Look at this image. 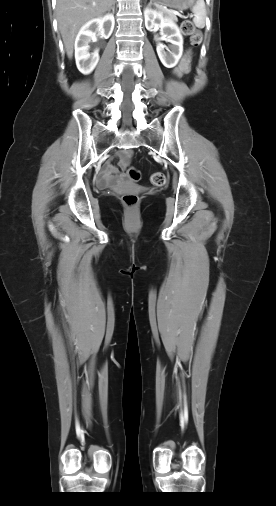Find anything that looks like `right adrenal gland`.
I'll return each instance as SVG.
<instances>
[{"label":"right adrenal gland","mask_w":276,"mask_h":506,"mask_svg":"<svg viewBox=\"0 0 276 506\" xmlns=\"http://www.w3.org/2000/svg\"><path fill=\"white\" fill-rule=\"evenodd\" d=\"M113 13L115 12V3H113L112 7H111Z\"/></svg>","instance_id":"right-adrenal-gland-1"}]
</instances>
